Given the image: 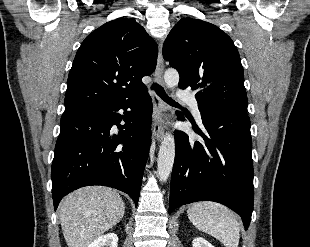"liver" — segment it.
Listing matches in <instances>:
<instances>
[{
    "instance_id": "obj_1",
    "label": "liver",
    "mask_w": 310,
    "mask_h": 247,
    "mask_svg": "<svg viewBox=\"0 0 310 247\" xmlns=\"http://www.w3.org/2000/svg\"><path fill=\"white\" fill-rule=\"evenodd\" d=\"M125 213L116 190L89 186L70 193L60 204L59 216L68 247H88L115 226Z\"/></svg>"
}]
</instances>
